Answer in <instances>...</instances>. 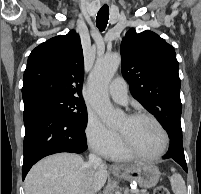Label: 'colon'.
I'll list each match as a JSON object with an SVG mask.
<instances>
[{
    "label": "colon",
    "instance_id": "1",
    "mask_svg": "<svg viewBox=\"0 0 201 194\" xmlns=\"http://www.w3.org/2000/svg\"><path fill=\"white\" fill-rule=\"evenodd\" d=\"M154 194H170V193L165 186H159L156 188Z\"/></svg>",
    "mask_w": 201,
    "mask_h": 194
}]
</instances>
